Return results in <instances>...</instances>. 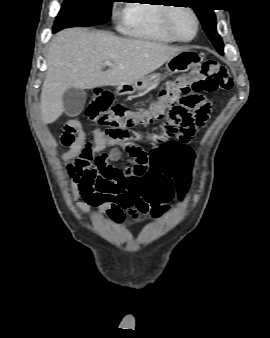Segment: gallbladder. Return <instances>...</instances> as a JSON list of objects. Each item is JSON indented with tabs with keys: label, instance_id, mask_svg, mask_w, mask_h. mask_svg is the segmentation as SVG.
Instances as JSON below:
<instances>
[{
	"label": "gallbladder",
	"instance_id": "obj_1",
	"mask_svg": "<svg viewBox=\"0 0 270 338\" xmlns=\"http://www.w3.org/2000/svg\"><path fill=\"white\" fill-rule=\"evenodd\" d=\"M87 93L83 89L69 88L62 97L65 113L68 116L74 117L79 115L85 105Z\"/></svg>",
	"mask_w": 270,
	"mask_h": 338
}]
</instances>
